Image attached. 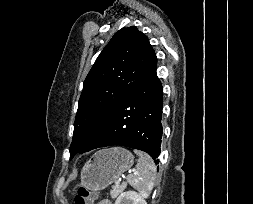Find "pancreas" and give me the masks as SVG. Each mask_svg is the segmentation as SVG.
<instances>
[{
  "label": "pancreas",
  "mask_w": 253,
  "mask_h": 204,
  "mask_svg": "<svg viewBox=\"0 0 253 204\" xmlns=\"http://www.w3.org/2000/svg\"><path fill=\"white\" fill-rule=\"evenodd\" d=\"M126 188V185H114L112 187V190L110 191V195L112 199H115L119 196L120 193H122Z\"/></svg>",
  "instance_id": "pancreas-1"
}]
</instances>
